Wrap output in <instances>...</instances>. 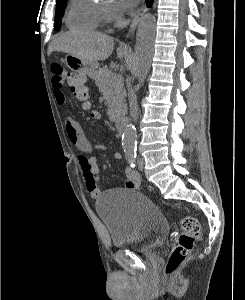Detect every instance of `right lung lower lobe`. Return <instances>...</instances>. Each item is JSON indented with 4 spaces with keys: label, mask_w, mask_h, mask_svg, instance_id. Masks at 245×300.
I'll return each mask as SVG.
<instances>
[{
    "label": "right lung lower lobe",
    "mask_w": 245,
    "mask_h": 300,
    "mask_svg": "<svg viewBox=\"0 0 245 300\" xmlns=\"http://www.w3.org/2000/svg\"><path fill=\"white\" fill-rule=\"evenodd\" d=\"M146 2H147V6L150 7L153 3V0H146Z\"/></svg>",
    "instance_id": "obj_1"
}]
</instances>
